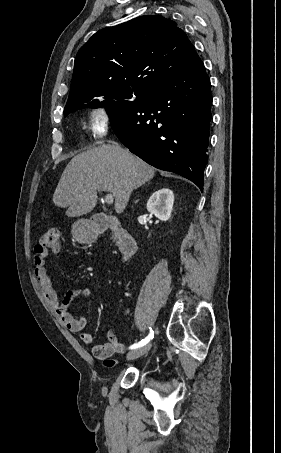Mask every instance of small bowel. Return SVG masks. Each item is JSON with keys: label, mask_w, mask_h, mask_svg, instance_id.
<instances>
[{"label": "small bowel", "mask_w": 281, "mask_h": 453, "mask_svg": "<svg viewBox=\"0 0 281 453\" xmlns=\"http://www.w3.org/2000/svg\"><path fill=\"white\" fill-rule=\"evenodd\" d=\"M46 256L47 252L45 250L36 251L34 275L38 280L47 303L59 315L60 320L66 325L68 330L80 334L81 340L91 347L92 353L95 354L99 360L108 363L110 366L118 364V360H112L113 356L116 353L127 352V348L118 341L116 335L109 330L107 332L108 342L101 345H95L93 335L85 332L87 319L84 316H73L67 306V304L77 299H89L92 296V291L87 288H71L65 293L64 304L61 305L55 291L52 275L46 267Z\"/></svg>", "instance_id": "small-bowel-1"}]
</instances>
